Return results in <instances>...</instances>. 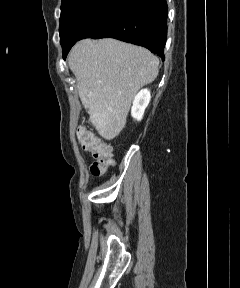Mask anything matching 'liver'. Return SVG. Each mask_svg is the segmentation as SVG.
I'll use <instances>...</instances> for the list:
<instances>
[{"label": "liver", "instance_id": "liver-1", "mask_svg": "<svg viewBox=\"0 0 240 288\" xmlns=\"http://www.w3.org/2000/svg\"><path fill=\"white\" fill-rule=\"evenodd\" d=\"M68 64L90 121L106 140L120 134L136 93L159 72V59L149 50L111 38L77 42Z\"/></svg>", "mask_w": 240, "mask_h": 288}]
</instances>
